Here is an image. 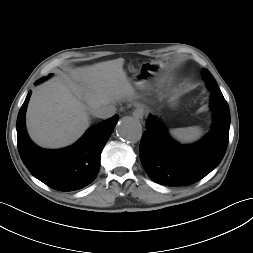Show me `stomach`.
<instances>
[{"label": "stomach", "mask_w": 253, "mask_h": 253, "mask_svg": "<svg viewBox=\"0 0 253 253\" xmlns=\"http://www.w3.org/2000/svg\"><path fill=\"white\" fill-rule=\"evenodd\" d=\"M161 67L156 62H145L141 65L139 71L135 74V84L139 87H143L148 79L152 76L155 75L157 69Z\"/></svg>", "instance_id": "stomach-1"}]
</instances>
